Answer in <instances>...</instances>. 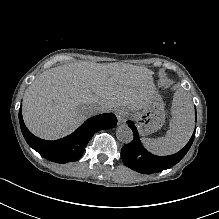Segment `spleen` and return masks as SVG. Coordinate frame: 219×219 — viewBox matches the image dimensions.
Instances as JSON below:
<instances>
[{"instance_id": "spleen-1", "label": "spleen", "mask_w": 219, "mask_h": 219, "mask_svg": "<svg viewBox=\"0 0 219 219\" xmlns=\"http://www.w3.org/2000/svg\"><path fill=\"white\" fill-rule=\"evenodd\" d=\"M172 119L165 137L143 138L145 147L156 155H171L181 150L194 130V110L190 95L182 88L176 90L171 107Z\"/></svg>"}]
</instances>
